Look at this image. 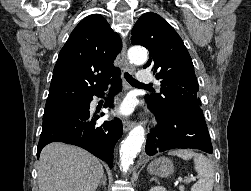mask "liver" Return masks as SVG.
<instances>
[{
	"label": "liver",
	"instance_id": "liver-1",
	"mask_svg": "<svg viewBox=\"0 0 251 191\" xmlns=\"http://www.w3.org/2000/svg\"><path fill=\"white\" fill-rule=\"evenodd\" d=\"M103 173L98 157L76 145L53 141L40 153V191H95Z\"/></svg>",
	"mask_w": 251,
	"mask_h": 191
}]
</instances>
